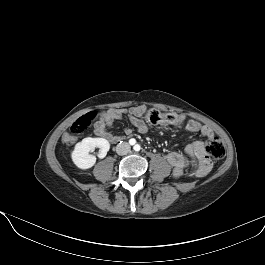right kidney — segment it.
Wrapping results in <instances>:
<instances>
[{
	"label": "right kidney",
	"instance_id": "right-kidney-1",
	"mask_svg": "<svg viewBox=\"0 0 265 265\" xmlns=\"http://www.w3.org/2000/svg\"><path fill=\"white\" fill-rule=\"evenodd\" d=\"M99 148V158H104L110 149L109 142L104 138H84L77 143L71 153L73 163L80 169H89L94 166L96 157L90 155V151Z\"/></svg>",
	"mask_w": 265,
	"mask_h": 265
}]
</instances>
